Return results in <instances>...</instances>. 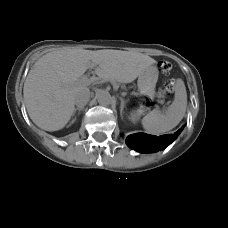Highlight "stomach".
I'll return each mask as SVG.
<instances>
[{
  "mask_svg": "<svg viewBox=\"0 0 228 228\" xmlns=\"http://www.w3.org/2000/svg\"><path fill=\"white\" fill-rule=\"evenodd\" d=\"M158 80V69L155 66L148 67L137 81L138 92L140 95L151 99L154 96L155 85Z\"/></svg>",
  "mask_w": 228,
  "mask_h": 228,
  "instance_id": "1",
  "label": "stomach"
}]
</instances>
